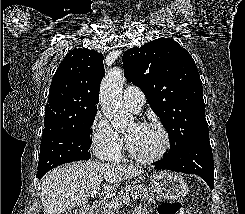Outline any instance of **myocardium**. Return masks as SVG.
Listing matches in <instances>:
<instances>
[{
  "instance_id": "obj_1",
  "label": "myocardium",
  "mask_w": 245,
  "mask_h": 214,
  "mask_svg": "<svg viewBox=\"0 0 245 214\" xmlns=\"http://www.w3.org/2000/svg\"><path fill=\"white\" fill-rule=\"evenodd\" d=\"M139 125L157 129L163 137L162 147L154 155L141 156V155L134 153L129 148L127 142H125L126 151L130 158L140 163H154L160 160L161 158H163L171 146V138H170L169 132L161 123L155 122V121H143V122H140Z\"/></svg>"
}]
</instances>
